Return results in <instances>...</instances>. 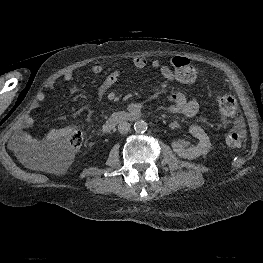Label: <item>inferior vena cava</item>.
Wrapping results in <instances>:
<instances>
[{"instance_id": "602c4592", "label": "inferior vena cava", "mask_w": 263, "mask_h": 263, "mask_svg": "<svg viewBox=\"0 0 263 263\" xmlns=\"http://www.w3.org/2000/svg\"><path fill=\"white\" fill-rule=\"evenodd\" d=\"M130 130V124L128 122H120L118 124V131L121 133V134H126L128 133Z\"/></svg>"}]
</instances>
